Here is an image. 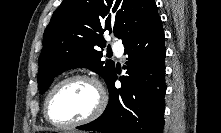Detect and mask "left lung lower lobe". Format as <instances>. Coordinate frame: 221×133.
I'll list each match as a JSON object with an SVG mask.
<instances>
[{
    "mask_svg": "<svg viewBox=\"0 0 221 133\" xmlns=\"http://www.w3.org/2000/svg\"><path fill=\"white\" fill-rule=\"evenodd\" d=\"M128 55L127 76L120 78L121 88L114 86V71L108 81L109 102L95 121L77 129L104 133H162L166 49L161 18L125 44Z\"/></svg>",
    "mask_w": 221,
    "mask_h": 133,
    "instance_id": "0a47b994",
    "label": "left lung lower lobe"
}]
</instances>
